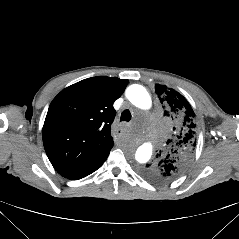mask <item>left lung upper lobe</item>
I'll list each match as a JSON object with an SVG mask.
<instances>
[{
	"instance_id": "1",
	"label": "left lung upper lobe",
	"mask_w": 239,
	"mask_h": 239,
	"mask_svg": "<svg viewBox=\"0 0 239 239\" xmlns=\"http://www.w3.org/2000/svg\"><path fill=\"white\" fill-rule=\"evenodd\" d=\"M155 92L164 116L175 125V133L165 150L157 154V160L143 168L142 174L153 182L167 183L180 177L190 165L197 143L196 118L190 103L176 90L156 84Z\"/></svg>"
}]
</instances>
